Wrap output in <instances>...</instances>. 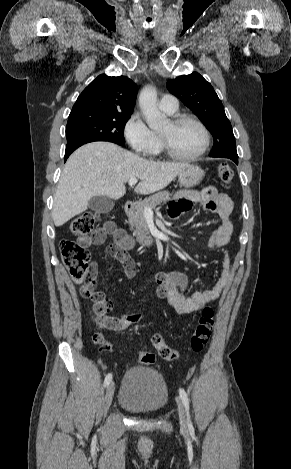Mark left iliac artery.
<instances>
[{
    "instance_id": "left-iliac-artery-1",
    "label": "left iliac artery",
    "mask_w": 291,
    "mask_h": 469,
    "mask_svg": "<svg viewBox=\"0 0 291 469\" xmlns=\"http://www.w3.org/2000/svg\"><path fill=\"white\" fill-rule=\"evenodd\" d=\"M179 394H180L182 402L185 406V409L187 411V424H188V427L191 428L192 423H191L190 415H189V399H188L187 393L185 392V390L183 388H180L179 389Z\"/></svg>"
}]
</instances>
